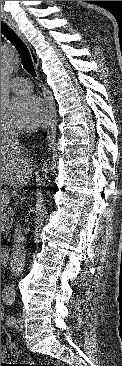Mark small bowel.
Wrapping results in <instances>:
<instances>
[{
	"mask_svg": "<svg viewBox=\"0 0 122 366\" xmlns=\"http://www.w3.org/2000/svg\"><path fill=\"white\" fill-rule=\"evenodd\" d=\"M1 261H2V258H1ZM3 316V310H2V306H1V318Z\"/></svg>",
	"mask_w": 122,
	"mask_h": 366,
	"instance_id": "obj_1",
	"label": "small bowel"
}]
</instances>
